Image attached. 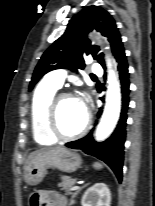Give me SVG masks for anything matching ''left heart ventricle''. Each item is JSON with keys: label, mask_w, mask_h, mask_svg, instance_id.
Instances as JSON below:
<instances>
[{"label": "left heart ventricle", "mask_w": 155, "mask_h": 206, "mask_svg": "<svg viewBox=\"0 0 155 206\" xmlns=\"http://www.w3.org/2000/svg\"><path fill=\"white\" fill-rule=\"evenodd\" d=\"M86 111L77 98H65L59 102L57 123L64 134H72L81 129L85 122Z\"/></svg>", "instance_id": "obj_1"}]
</instances>
